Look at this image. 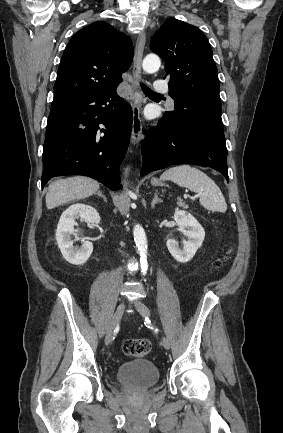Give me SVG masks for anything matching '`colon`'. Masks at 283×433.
I'll list each match as a JSON object with an SVG mask.
<instances>
[{"mask_svg":"<svg viewBox=\"0 0 283 433\" xmlns=\"http://www.w3.org/2000/svg\"><path fill=\"white\" fill-rule=\"evenodd\" d=\"M230 249L225 250V254H228ZM226 259V255L220 259H217L213 267L220 268ZM151 351V343L147 339H129L123 344V352L125 355L131 358H143L147 356Z\"/></svg>","mask_w":283,"mask_h":433,"instance_id":"5ec220e1","label":"colon"}]
</instances>
